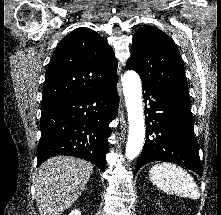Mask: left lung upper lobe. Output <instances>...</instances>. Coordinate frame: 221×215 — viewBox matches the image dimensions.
I'll return each mask as SVG.
<instances>
[{
    "mask_svg": "<svg viewBox=\"0 0 221 215\" xmlns=\"http://www.w3.org/2000/svg\"><path fill=\"white\" fill-rule=\"evenodd\" d=\"M126 67L137 71L142 83L189 100L182 58L174 42L161 30L152 26L137 30Z\"/></svg>",
    "mask_w": 221,
    "mask_h": 215,
    "instance_id": "1",
    "label": "left lung upper lobe"
}]
</instances>
